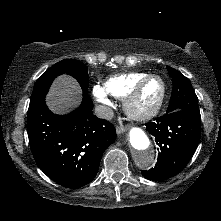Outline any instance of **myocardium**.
<instances>
[{"label": "myocardium", "instance_id": "obj_1", "mask_svg": "<svg viewBox=\"0 0 221 221\" xmlns=\"http://www.w3.org/2000/svg\"><path fill=\"white\" fill-rule=\"evenodd\" d=\"M152 79H158L161 82L162 91H161L160 97L153 107L147 110H139L136 107L137 100L140 96L141 91L146 85V83ZM166 92H167V86H166L164 79L159 75L149 74L143 79H141L134 86V88L129 92V94L124 98V102H123L124 111L127 114V116L133 120H136V121L149 120L155 117L161 110L165 101Z\"/></svg>", "mask_w": 221, "mask_h": 221}]
</instances>
